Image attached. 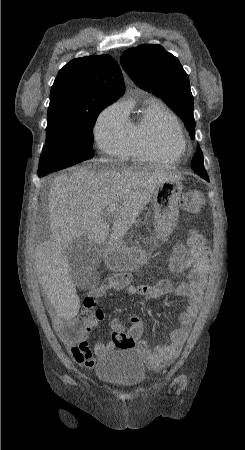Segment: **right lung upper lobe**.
<instances>
[{
	"instance_id": "right-lung-upper-lobe-1",
	"label": "right lung upper lobe",
	"mask_w": 245,
	"mask_h": 450,
	"mask_svg": "<svg viewBox=\"0 0 245 450\" xmlns=\"http://www.w3.org/2000/svg\"><path fill=\"white\" fill-rule=\"evenodd\" d=\"M124 91L121 69L110 55L76 58L59 71L48 114L89 111L96 104H112Z\"/></svg>"
}]
</instances>
